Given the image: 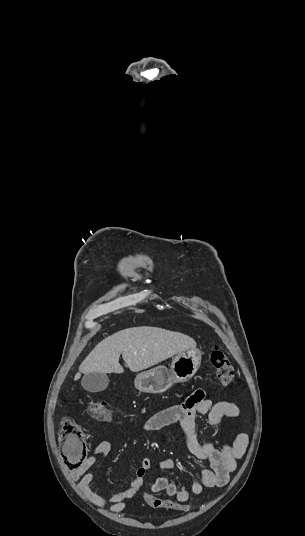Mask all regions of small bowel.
Returning a JSON list of instances; mask_svg holds the SVG:
<instances>
[{"label": "small bowel", "mask_w": 305, "mask_h": 536, "mask_svg": "<svg viewBox=\"0 0 305 536\" xmlns=\"http://www.w3.org/2000/svg\"><path fill=\"white\" fill-rule=\"evenodd\" d=\"M206 415L209 425L219 427L223 418H234L239 415V408L235 403L228 401H213L206 397V392L202 388L194 390L180 404L166 407L150 418L144 424L147 432L158 431L166 426L179 423L183 430V435L187 449L191 454L209 465V469L201 471L200 477L191 484V491L195 495H200L203 489L219 488L226 485L230 474L236 468V460L241 458L248 445L246 433H239L231 444L223 443L219 448L210 443H200L196 435L197 418ZM111 451V445L107 441L97 443L84 458L81 465L72 471L71 478L79 481L80 490L95 504L109 506L113 513H119L125 508V501L133 497L138 491L145 487V476L151 467L150 458H143L137 467L134 477L127 487L105 497L91 490V485L95 479V474L89 469L97 463L98 456L106 457ZM162 470H173L178 463L171 458L162 459L159 463ZM160 492L180 495L181 500H189V491L184 485L178 486L166 477L157 478L151 485V493Z\"/></svg>", "instance_id": "small-bowel-1"}]
</instances>
